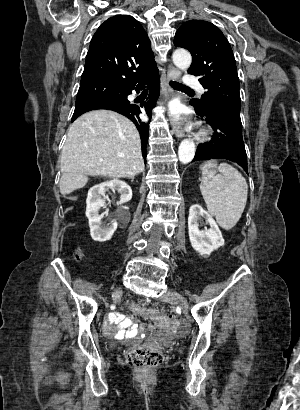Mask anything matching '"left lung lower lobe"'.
I'll list each match as a JSON object with an SVG mask.
<instances>
[{"mask_svg":"<svg viewBox=\"0 0 300 410\" xmlns=\"http://www.w3.org/2000/svg\"><path fill=\"white\" fill-rule=\"evenodd\" d=\"M195 111L209 122L214 134L210 142L197 147L193 161L227 159L237 162L247 172L240 111L220 104L211 105L205 113Z\"/></svg>","mask_w":300,"mask_h":410,"instance_id":"0a47b994","label":"left lung lower lobe"}]
</instances>
